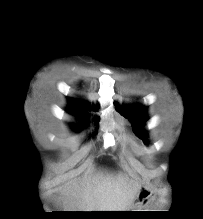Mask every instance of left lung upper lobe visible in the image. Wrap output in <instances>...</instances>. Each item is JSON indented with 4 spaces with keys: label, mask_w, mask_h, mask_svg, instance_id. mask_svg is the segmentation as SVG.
<instances>
[{
    "label": "left lung upper lobe",
    "mask_w": 203,
    "mask_h": 219,
    "mask_svg": "<svg viewBox=\"0 0 203 219\" xmlns=\"http://www.w3.org/2000/svg\"><path fill=\"white\" fill-rule=\"evenodd\" d=\"M118 109L126 118L129 119L133 126L134 133L139 138H144L145 131L142 129V126L147 121V116L145 113L146 107L140 105H122V107H118Z\"/></svg>",
    "instance_id": "5c2ea615"
}]
</instances>
